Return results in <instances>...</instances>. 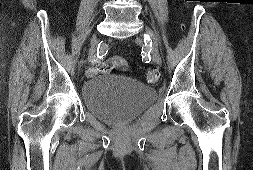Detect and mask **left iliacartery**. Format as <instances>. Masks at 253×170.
I'll use <instances>...</instances> for the list:
<instances>
[{
	"label": "left iliac artery",
	"mask_w": 253,
	"mask_h": 170,
	"mask_svg": "<svg viewBox=\"0 0 253 170\" xmlns=\"http://www.w3.org/2000/svg\"><path fill=\"white\" fill-rule=\"evenodd\" d=\"M144 42H145L146 45L152 43L150 37L146 34L144 35Z\"/></svg>",
	"instance_id": "obj_1"
}]
</instances>
